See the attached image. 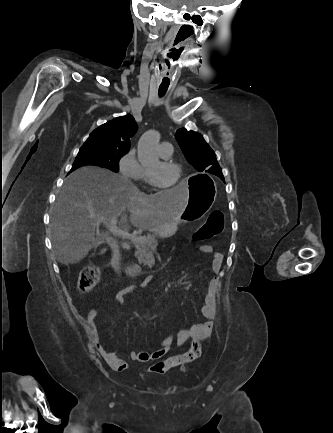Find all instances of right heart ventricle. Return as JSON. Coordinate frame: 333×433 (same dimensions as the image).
<instances>
[{
    "instance_id": "e07e8e85",
    "label": "right heart ventricle",
    "mask_w": 333,
    "mask_h": 433,
    "mask_svg": "<svg viewBox=\"0 0 333 433\" xmlns=\"http://www.w3.org/2000/svg\"><path fill=\"white\" fill-rule=\"evenodd\" d=\"M143 178H145V179L147 178V174H146V171H145V174H144Z\"/></svg>"
}]
</instances>
